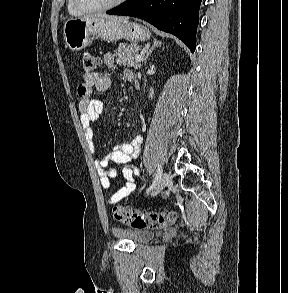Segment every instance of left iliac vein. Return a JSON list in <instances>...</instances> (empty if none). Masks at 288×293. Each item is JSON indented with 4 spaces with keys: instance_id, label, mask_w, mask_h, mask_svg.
I'll return each instance as SVG.
<instances>
[{
    "instance_id": "obj_1",
    "label": "left iliac vein",
    "mask_w": 288,
    "mask_h": 293,
    "mask_svg": "<svg viewBox=\"0 0 288 293\" xmlns=\"http://www.w3.org/2000/svg\"><path fill=\"white\" fill-rule=\"evenodd\" d=\"M171 181L170 175L168 173H163L160 177L157 185L155 186L154 190L152 191L151 195L155 196L160 193Z\"/></svg>"
}]
</instances>
